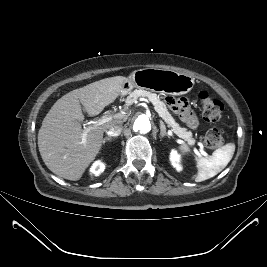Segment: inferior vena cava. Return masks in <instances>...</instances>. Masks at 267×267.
Returning <instances> with one entry per match:
<instances>
[{
	"label": "inferior vena cava",
	"mask_w": 267,
	"mask_h": 267,
	"mask_svg": "<svg viewBox=\"0 0 267 267\" xmlns=\"http://www.w3.org/2000/svg\"><path fill=\"white\" fill-rule=\"evenodd\" d=\"M122 132V125L120 124H116V125H112L107 131V135L110 137H116L119 136Z\"/></svg>",
	"instance_id": "obj_1"
}]
</instances>
